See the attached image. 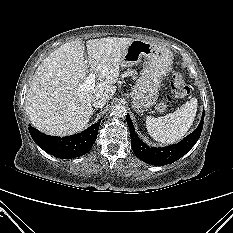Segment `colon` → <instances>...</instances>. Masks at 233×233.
I'll list each match as a JSON object with an SVG mask.
<instances>
[{
	"mask_svg": "<svg viewBox=\"0 0 233 233\" xmlns=\"http://www.w3.org/2000/svg\"><path fill=\"white\" fill-rule=\"evenodd\" d=\"M189 93V88L185 83L184 77L181 73H175L170 82V91L161 96L156 108L159 112L166 111L174 100L182 98Z\"/></svg>",
	"mask_w": 233,
	"mask_h": 233,
	"instance_id": "5ec220e1",
	"label": "colon"
}]
</instances>
